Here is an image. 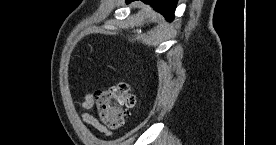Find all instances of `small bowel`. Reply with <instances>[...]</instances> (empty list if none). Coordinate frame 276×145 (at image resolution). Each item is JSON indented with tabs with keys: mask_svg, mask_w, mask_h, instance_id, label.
Here are the masks:
<instances>
[{
	"mask_svg": "<svg viewBox=\"0 0 276 145\" xmlns=\"http://www.w3.org/2000/svg\"><path fill=\"white\" fill-rule=\"evenodd\" d=\"M93 105V95L91 93H86L80 105V117L82 121L97 129L104 135V137H110L111 131L101 124V122L94 115L89 113V110L93 107Z\"/></svg>",
	"mask_w": 276,
	"mask_h": 145,
	"instance_id": "c3829d8e",
	"label": "small bowel"
}]
</instances>
